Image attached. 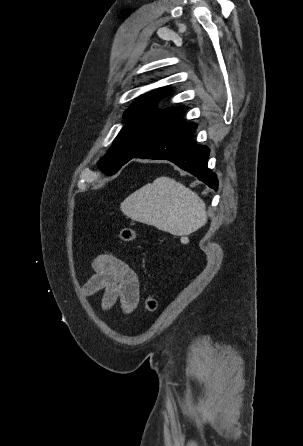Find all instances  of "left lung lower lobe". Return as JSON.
<instances>
[{"label": "left lung lower lobe", "instance_id": "1", "mask_svg": "<svg viewBox=\"0 0 303 446\" xmlns=\"http://www.w3.org/2000/svg\"><path fill=\"white\" fill-rule=\"evenodd\" d=\"M196 128L197 126L193 122H185L171 135L124 159L112 174L116 173L122 165L132 158L166 159L217 190L218 179L207 167L210 150L207 146L197 145L193 139Z\"/></svg>", "mask_w": 303, "mask_h": 446}]
</instances>
